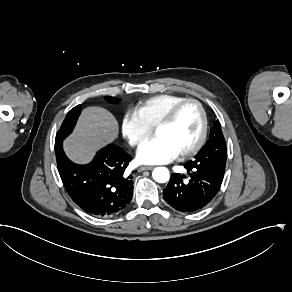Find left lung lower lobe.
Listing matches in <instances>:
<instances>
[{"instance_id": "left-lung-lower-lobe-1", "label": "left lung lower lobe", "mask_w": 292, "mask_h": 292, "mask_svg": "<svg viewBox=\"0 0 292 292\" xmlns=\"http://www.w3.org/2000/svg\"><path fill=\"white\" fill-rule=\"evenodd\" d=\"M184 167L190 176L189 181L184 180L185 175L172 174L163 196L177 211L192 213L204 208L215 197L225 170L203 169L192 161L185 163Z\"/></svg>"}]
</instances>
